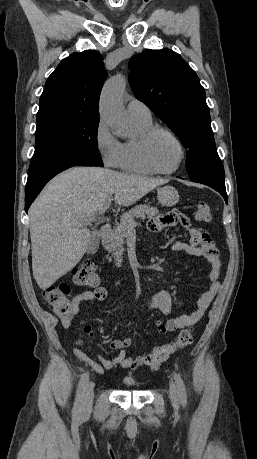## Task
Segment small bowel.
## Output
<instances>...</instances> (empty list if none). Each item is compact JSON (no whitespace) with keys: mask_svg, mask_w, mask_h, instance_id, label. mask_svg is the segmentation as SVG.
<instances>
[{"mask_svg":"<svg viewBox=\"0 0 257 459\" xmlns=\"http://www.w3.org/2000/svg\"><path fill=\"white\" fill-rule=\"evenodd\" d=\"M182 225L186 228V234H190L191 243L183 241H176L172 245V250L177 253H185L191 256L199 257L204 259L209 266V272L207 275L208 287L200 295L195 303L194 309L191 313L182 315L176 318H171L165 323L162 321H156V328L159 332H174L189 326L196 324L204 312L212 302L215 295L218 293L220 283V261L219 253L215 245L210 240L209 236L193 227L189 220L183 215L182 208H163L161 217H149L148 218V229L150 231H159L160 229H175L176 226ZM107 297V290L102 286H98L93 290L83 291L74 296L73 301L77 306L74 313L61 319V324L65 329L72 326L75 316L78 313V306L84 301H102ZM147 305L151 309L159 310L162 314L168 315L172 308V296L166 290H160L153 296L147 299ZM84 332L90 337L93 336L91 326L86 322L82 321ZM132 338L126 337L123 339L112 340L109 344V348L118 350V355L113 359H106L101 355H97L95 358L90 357L84 348L86 344L80 337L75 339V347L72 352L74 356L87 364L94 372L98 374H104L107 370H111L116 366L123 368L135 369L142 366L145 363L146 354L129 356L126 354V348L132 345Z\"/></svg>","mask_w":257,"mask_h":459,"instance_id":"small-bowel-1","label":"small bowel"}]
</instances>
